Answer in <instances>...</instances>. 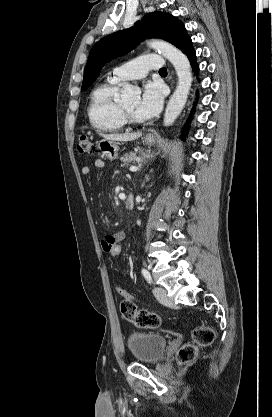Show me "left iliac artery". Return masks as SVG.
Returning a JSON list of instances; mask_svg holds the SVG:
<instances>
[{
  "mask_svg": "<svg viewBox=\"0 0 272 417\" xmlns=\"http://www.w3.org/2000/svg\"><path fill=\"white\" fill-rule=\"evenodd\" d=\"M141 272H142V274H143L144 278H145V279H146L149 283H152V278H151V275H150V273L148 272V270H146V269L142 268Z\"/></svg>",
  "mask_w": 272,
  "mask_h": 417,
  "instance_id": "1",
  "label": "left iliac artery"
}]
</instances>
